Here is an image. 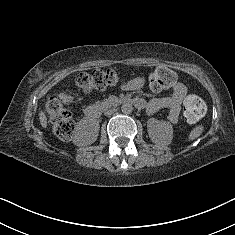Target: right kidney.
<instances>
[{
	"label": "right kidney",
	"mask_w": 235,
	"mask_h": 235,
	"mask_svg": "<svg viewBox=\"0 0 235 235\" xmlns=\"http://www.w3.org/2000/svg\"><path fill=\"white\" fill-rule=\"evenodd\" d=\"M99 133V121L81 120L75 130L73 142L78 146L90 145L97 140Z\"/></svg>",
	"instance_id": "obj_1"
}]
</instances>
